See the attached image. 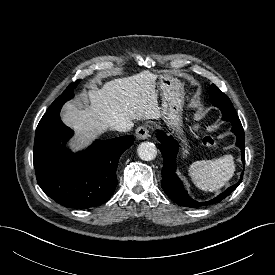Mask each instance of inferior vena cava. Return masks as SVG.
Segmentation results:
<instances>
[{
    "mask_svg": "<svg viewBox=\"0 0 275 275\" xmlns=\"http://www.w3.org/2000/svg\"><path fill=\"white\" fill-rule=\"evenodd\" d=\"M133 127V123L131 121H123L117 123L113 129L120 132H127Z\"/></svg>",
    "mask_w": 275,
    "mask_h": 275,
    "instance_id": "1",
    "label": "inferior vena cava"
}]
</instances>
